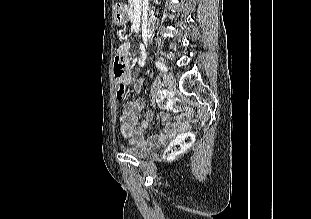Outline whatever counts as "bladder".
<instances>
[{
    "mask_svg": "<svg viewBox=\"0 0 311 219\" xmlns=\"http://www.w3.org/2000/svg\"><path fill=\"white\" fill-rule=\"evenodd\" d=\"M121 150L123 151V153L136 158H146L152 153L153 147L134 144L130 146H123Z\"/></svg>",
    "mask_w": 311,
    "mask_h": 219,
    "instance_id": "1",
    "label": "bladder"
}]
</instances>
